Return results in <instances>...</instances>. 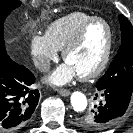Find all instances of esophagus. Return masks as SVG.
Instances as JSON below:
<instances>
[{
	"label": "esophagus",
	"instance_id": "esophagus-1",
	"mask_svg": "<svg viewBox=\"0 0 133 133\" xmlns=\"http://www.w3.org/2000/svg\"><path fill=\"white\" fill-rule=\"evenodd\" d=\"M58 92L63 97H66V96H68L70 94V90H68V89H59Z\"/></svg>",
	"mask_w": 133,
	"mask_h": 133
}]
</instances>
